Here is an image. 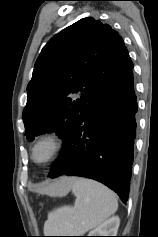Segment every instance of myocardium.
Listing matches in <instances>:
<instances>
[{
    "mask_svg": "<svg viewBox=\"0 0 158 237\" xmlns=\"http://www.w3.org/2000/svg\"><path fill=\"white\" fill-rule=\"evenodd\" d=\"M48 143L50 145L49 154L42 160H37L35 157L36 149L39 145ZM63 149L62 139L55 133H44L37 137L31 148V160L35 165H45L54 160Z\"/></svg>",
    "mask_w": 158,
    "mask_h": 237,
    "instance_id": "obj_1",
    "label": "myocardium"
}]
</instances>
